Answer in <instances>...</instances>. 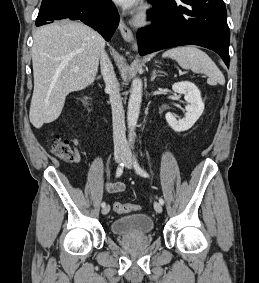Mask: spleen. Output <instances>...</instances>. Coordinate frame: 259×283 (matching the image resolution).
<instances>
[{
    "label": "spleen",
    "mask_w": 259,
    "mask_h": 283,
    "mask_svg": "<svg viewBox=\"0 0 259 283\" xmlns=\"http://www.w3.org/2000/svg\"><path fill=\"white\" fill-rule=\"evenodd\" d=\"M164 58H171L184 68L194 73H204L212 84H225V78L212 59L195 46L176 47L163 53Z\"/></svg>",
    "instance_id": "spleen-1"
}]
</instances>
